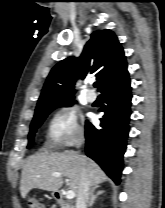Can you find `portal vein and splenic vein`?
Segmentation results:
<instances>
[{
    "instance_id": "portal-vein-and-splenic-vein-1",
    "label": "portal vein and splenic vein",
    "mask_w": 165,
    "mask_h": 208,
    "mask_svg": "<svg viewBox=\"0 0 165 208\" xmlns=\"http://www.w3.org/2000/svg\"><path fill=\"white\" fill-rule=\"evenodd\" d=\"M55 177H61V174H55ZM75 197V192L73 190H68L66 192V198L67 199H73Z\"/></svg>"
}]
</instances>
